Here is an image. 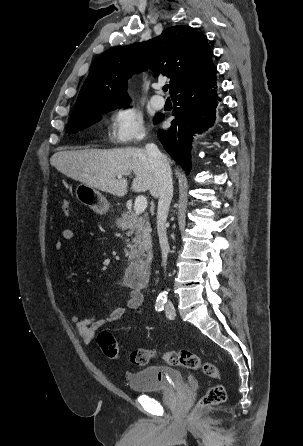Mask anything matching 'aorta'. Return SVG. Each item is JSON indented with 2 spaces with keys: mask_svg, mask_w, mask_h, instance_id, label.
I'll return each mask as SVG.
<instances>
[{
  "mask_svg": "<svg viewBox=\"0 0 303 446\" xmlns=\"http://www.w3.org/2000/svg\"><path fill=\"white\" fill-rule=\"evenodd\" d=\"M162 296H165V294H164V293H162Z\"/></svg>",
  "mask_w": 303,
  "mask_h": 446,
  "instance_id": "1",
  "label": "aorta"
}]
</instances>
